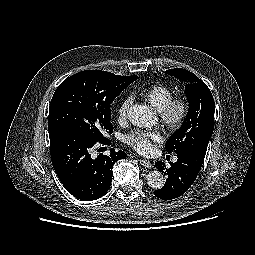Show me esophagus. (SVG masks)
I'll list each match as a JSON object with an SVG mask.
<instances>
[{"instance_id": "34e87169", "label": "esophagus", "mask_w": 255, "mask_h": 255, "mask_svg": "<svg viewBox=\"0 0 255 255\" xmlns=\"http://www.w3.org/2000/svg\"><path fill=\"white\" fill-rule=\"evenodd\" d=\"M139 162H140V164H141L142 166H144V167H146V168H149V169L153 168V165H152V163H151L149 160L140 159Z\"/></svg>"}]
</instances>
